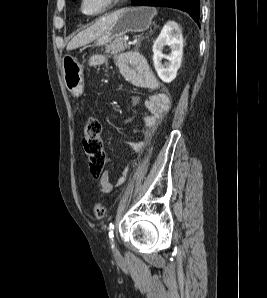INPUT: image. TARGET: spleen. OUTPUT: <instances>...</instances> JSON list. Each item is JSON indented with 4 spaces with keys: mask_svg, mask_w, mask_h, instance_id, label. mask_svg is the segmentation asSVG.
I'll return each mask as SVG.
<instances>
[{
    "mask_svg": "<svg viewBox=\"0 0 267 298\" xmlns=\"http://www.w3.org/2000/svg\"><path fill=\"white\" fill-rule=\"evenodd\" d=\"M153 12H154V14H157V12H156V10H155V9L153 10Z\"/></svg>",
    "mask_w": 267,
    "mask_h": 298,
    "instance_id": "3e777b00",
    "label": "spleen"
}]
</instances>
